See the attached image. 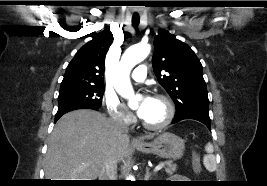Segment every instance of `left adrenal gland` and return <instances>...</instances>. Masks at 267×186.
Instances as JSON below:
<instances>
[{"label": "left adrenal gland", "instance_id": "obj_1", "mask_svg": "<svg viewBox=\"0 0 267 186\" xmlns=\"http://www.w3.org/2000/svg\"><path fill=\"white\" fill-rule=\"evenodd\" d=\"M155 176V173H150L149 172V168L146 167V173H145V176H144V181H149V179L151 177Z\"/></svg>", "mask_w": 267, "mask_h": 186}]
</instances>
